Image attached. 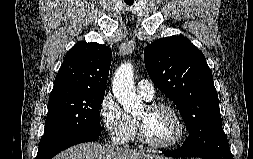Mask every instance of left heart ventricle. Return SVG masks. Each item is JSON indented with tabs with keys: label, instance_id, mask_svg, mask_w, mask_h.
Here are the masks:
<instances>
[{
	"label": "left heart ventricle",
	"instance_id": "obj_1",
	"mask_svg": "<svg viewBox=\"0 0 253 159\" xmlns=\"http://www.w3.org/2000/svg\"><path fill=\"white\" fill-rule=\"evenodd\" d=\"M143 122L148 137L158 143H169L177 136L178 122L166 109L147 110L146 106L136 115Z\"/></svg>",
	"mask_w": 253,
	"mask_h": 159
}]
</instances>
